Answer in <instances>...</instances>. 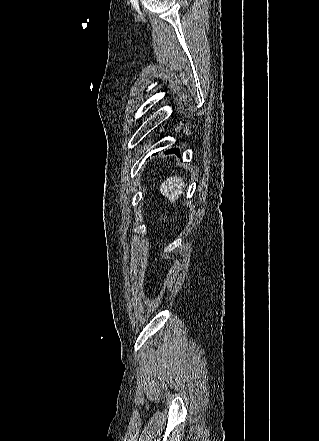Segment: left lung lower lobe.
I'll return each instance as SVG.
<instances>
[{
    "label": "left lung lower lobe",
    "mask_w": 319,
    "mask_h": 441,
    "mask_svg": "<svg viewBox=\"0 0 319 441\" xmlns=\"http://www.w3.org/2000/svg\"><path fill=\"white\" fill-rule=\"evenodd\" d=\"M168 152H169V153H170V152H172V153H176L177 155H179V149H177V148L170 149V150H168ZM168 152H166V154H167Z\"/></svg>",
    "instance_id": "1"
}]
</instances>
